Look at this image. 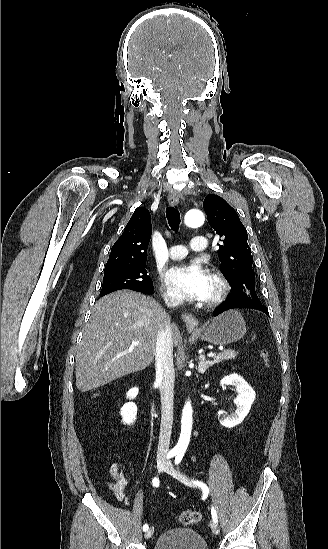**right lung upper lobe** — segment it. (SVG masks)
I'll return each instance as SVG.
<instances>
[{
    "label": "right lung upper lobe",
    "mask_w": 328,
    "mask_h": 549,
    "mask_svg": "<svg viewBox=\"0 0 328 549\" xmlns=\"http://www.w3.org/2000/svg\"><path fill=\"white\" fill-rule=\"evenodd\" d=\"M151 233L149 211L144 207L137 208L122 236L113 245L105 271L146 262Z\"/></svg>",
    "instance_id": "right-lung-upper-lobe-1"
}]
</instances>
